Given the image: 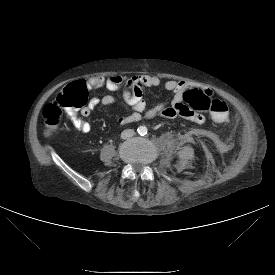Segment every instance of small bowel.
<instances>
[{
  "mask_svg": "<svg viewBox=\"0 0 275 275\" xmlns=\"http://www.w3.org/2000/svg\"><path fill=\"white\" fill-rule=\"evenodd\" d=\"M87 84L90 88L105 87L112 93L121 92L122 100L112 94L93 97L81 111L84 117L88 116L92 110L99 106L120 105L125 103L133 109V112L127 116L118 118L117 122L119 125L137 122L143 117L153 119L158 116L168 119L182 116L198 124L204 123L205 121L204 116L192 113L190 108L183 103L182 93L185 88L191 86V84L185 81H166L164 88L174 95L171 103H158L150 108L147 107L144 99V89L159 86L161 79L158 76L145 74H138L131 77L120 75L109 77L95 76L88 79ZM206 92H209V90ZM72 123L76 129L83 133H88L91 130V124L78 116L72 118ZM212 145L216 152L225 153L230 148V141L226 134L217 133L212 138Z\"/></svg>",
  "mask_w": 275,
  "mask_h": 275,
  "instance_id": "1",
  "label": "small bowel"
}]
</instances>
